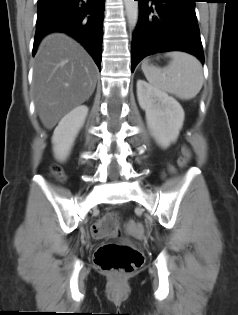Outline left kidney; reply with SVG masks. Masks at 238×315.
Masks as SVG:
<instances>
[{
    "instance_id": "1",
    "label": "left kidney",
    "mask_w": 238,
    "mask_h": 315,
    "mask_svg": "<svg viewBox=\"0 0 238 315\" xmlns=\"http://www.w3.org/2000/svg\"><path fill=\"white\" fill-rule=\"evenodd\" d=\"M137 97L156 141L167 148L175 142L184 122V110L173 97L144 80L137 81Z\"/></svg>"
}]
</instances>
